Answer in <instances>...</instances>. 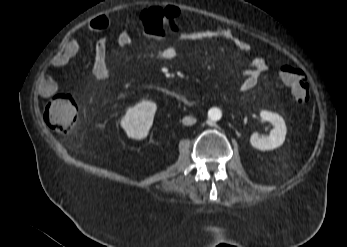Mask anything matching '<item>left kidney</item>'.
Instances as JSON below:
<instances>
[{"instance_id": "left-kidney-1", "label": "left kidney", "mask_w": 347, "mask_h": 247, "mask_svg": "<svg viewBox=\"0 0 347 247\" xmlns=\"http://www.w3.org/2000/svg\"><path fill=\"white\" fill-rule=\"evenodd\" d=\"M260 117L262 120L272 123L273 129L267 138H261L258 133H253L250 137L251 145L262 151L273 150L281 146L287 133L284 119L278 113L267 110H262Z\"/></svg>"}]
</instances>
